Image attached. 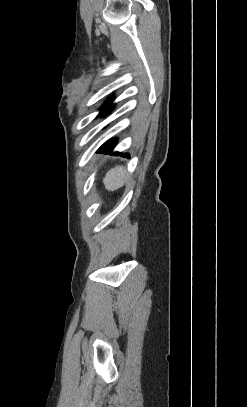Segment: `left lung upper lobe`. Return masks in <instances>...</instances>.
<instances>
[{
  "label": "left lung upper lobe",
  "instance_id": "1",
  "mask_svg": "<svg viewBox=\"0 0 247 407\" xmlns=\"http://www.w3.org/2000/svg\"><path fill=\"white\" fill-rule=\"evenodd\" d=\"M112 102V100L107 101L104 105L103 108L101 110V112L99 113L98 116H100L101 114H103V112L108 108V106L110 105V103Z\"/></svg>",
  "mask_w": 247,
  "mask_h": 407
}]
</instances>
